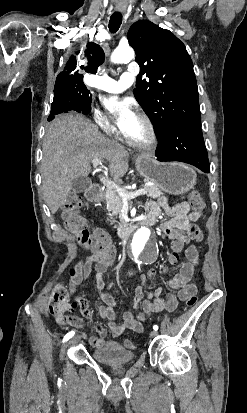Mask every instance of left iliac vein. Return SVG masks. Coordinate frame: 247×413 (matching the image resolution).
I'll list each match as a JSON object with an SVG mask.
<instances>
[{
	"label": "left iliac vein",
	"mask_w": 247,
	"mask_h": 413,
	"mask_svg": "<svg viewBox=\"0 0 247 413\" xmlns=\"http://www.w3.org/2000/svg\"><path fill=\"white\" fill-rule=\"evenodd\" d=\"M157 335H158V332L155 331V330H153V331L150 332V337H151V338L156 337Z\"/></svg>",
	"instance_id": "1"
}]
</instances>
